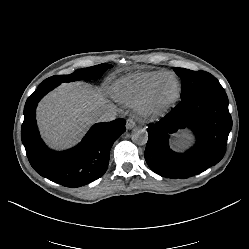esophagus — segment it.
<instances>
[{
    "label": "esophagus",
    "mask_w": 249,
    "mask_h": 249,
    "mask_svg": "<svg viewBox=\"0 0 249 249\" xmlns=\"http://www.w3.org/2000/svg\"><path fill=\"white\" fill-rule=\"evenodd\" d=\"M135 127H136V123L131 118H128L126 120V128L128 130H131V129L135 128Z\"/></svg>",
    "instance_id": "obj_1"
}]
</instances>
